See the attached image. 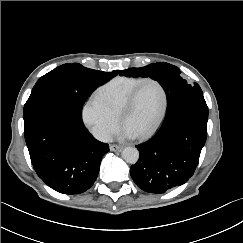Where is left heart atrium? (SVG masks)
I'll list each match as a JSON object with an SVG mask.
<instances>
[{"label": "left heart atrium", "mask_w": 243, "mask_h": 243, "mask_svg": "<svg viewBox=\"0 0 243 243\" xmlns=\"http://www.w3.org/2000/svg\"><path fill=\"white\" fill-rule=\"evenodd\" d=\"M136 135L137 134L135 132H133L131 129H129L126 126H123V128L119 132V138H121V139H124V138H133Z\"/></svg>", "instance_id": "left-heart-atrium-1"}]
</instances>
